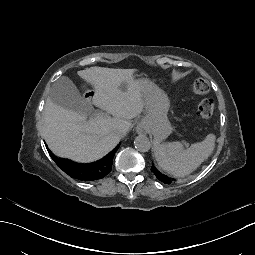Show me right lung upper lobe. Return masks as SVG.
Returning a JSON list of instances; mask_svg holds the SVG:
<instances>
[{
  "label": "right lung upper lobe",
  "instance_id": "right-lung-upper-lobe-1",
  "mask_svg": "<svg viewBox=\"0 0 255 255\" xmlns=\"http://www.w3.org/2000/svg\"><path fill=\"white\" fill-rule=\"evenodd\" d=\"M119 146L120 144L101 160L90 164L75 163L71 160L55 156L50 150L48 152L58 167L70 177L81 181H94L104 178L111 172L112 159Z\"/></svg>",
  "mask_w": 255,
  "mask_h": 255
}]
</instances>
